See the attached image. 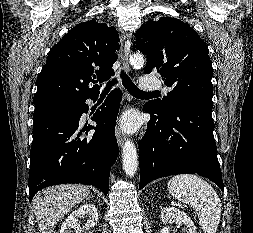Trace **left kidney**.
Returning <instances> with one entry per match:
<instances>
[{
  "label": "left kidney",
  "mask_w": 253,
  "mask_h": 233,
  "mask_svg": "<svg viewBox=\"0 0 253 233\" xmlns=\"http://www.w3.org/2000/svg\"><path fill=\"white\" fill-rule=\"evenodd\" d=\"M160 219L163 223H167L171 220H176L180 225H184L187 233H197L194 222L191 218L184 212L175 207H165L161 209Z\"/></svg>",
  "instance_id": "5707ae66"
}]
</instances>
